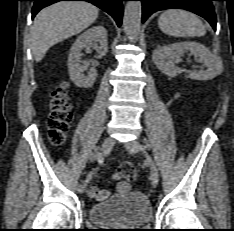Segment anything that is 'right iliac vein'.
Masks as SVG:
<instances>
[{
	"label": "right iliac vein",
	"instance_id": "63e3f726",
	"mask_svg": "<svg viewBox=\"0 0 234 231\" xmlns=\"http://www.w3.org/2000/svg\"><path fill=\"white\" fill-rule=\"evenodd\" d=\"M114 144H115L114 139L112 137H107L102 144L100 155L107 156L111 152ZM84 189L85 186L80 184L78 185L77 191L78 193H83Z\"/></svg>",
	"mask_w": 234,
	"mask_h": 231
}]
</instances>
